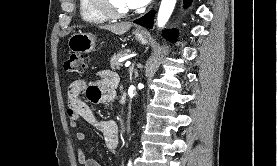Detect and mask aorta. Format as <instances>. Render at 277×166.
Wrapping results in <instances>:
<instances>
[{
    "label": "aorta",
    "instance_id": "762f6f07",
    "mask_svg": "<svg viewBox=\"0 0 277 166\" xmlns=\"http://www.w3.org/2000/svg\"><path fill=\"white\" fill-rule=\"evenodd\" d=\"M176 4V0H162L161 5L158 12L157 17V26L162 28L165 26L167 21L169 20L174 7Z\"/></svg>",
    "mask_w": 277,
    "mask_h": 166
}]
</instances>
